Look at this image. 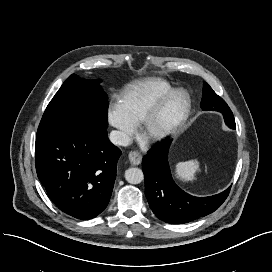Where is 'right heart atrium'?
<instances>
[{
  "instance_id": "obj_1",
  "label": "right heart atrium",
  "mask_w": 272,
  "mask_h": 272,
  "mask_svg": "<svg viewBox=\"0 0 272 272\" xmlns=\"http://www.w3.org/2000/svg\"><path fill=\"white\" fill-rule=\"evenodd\" d=\"M107 119L117 129V139L121 143L127 141L135 131V125L128 120L119 104L109 106Z\"/></svg>"
}]
</instances>
